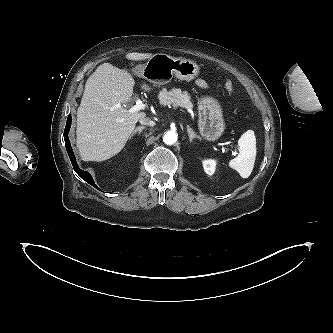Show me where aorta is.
Wrapping results in <instances>:
<instances>
[{
    "mask_svg": "<svg viewBox=\"0 0 333 333\" xmlns=\"http://www.w3.org/2000/svg\"><path fill=\"white\" fill-rule=\"evenodd\" d=\"M164 143L172 145L177 141V134L174 131H168L163 137Z\"/></svg>",
    "mask_w": 333,
    "mask_h": 333,
    "instance_id": "aorta-1",
    "label": "aorta"
}]
</instances>
